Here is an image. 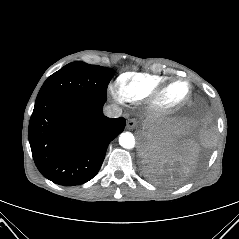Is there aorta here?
I'll return each mask as SVG.
<instances>
[{"label": "aorta", "mask_w": 239, "mask_h": 239, "mask_svg": "<svg viewBox=\"0 0 239 239\" xmlns=\"http://www.w3.org/2000/svg\"><path fill=\"white\" fill-rule=\"evenodd\" d=\"M119 144L125 149L135 147V137L131 132H123L119 136Z\"/></svg>", "instance_id": "aorta-1"}]
</instances>
